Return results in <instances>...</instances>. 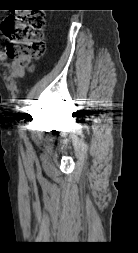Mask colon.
<instances>
[{
	"label": "colon",
	"mask_w": 138,
	"mask_h": 253,
	"mask_svg": "<svg viewBox=\"0 0 138 253\" xmlns=\"http://www.w3.org/2000/svg\"><path fill=\"white\" fill-rule=\"evenodd\" d=\"M8 40L7 55L18 60L23 67L45 52L43 30L45 18L39 12H22L8 16L2 23Z\"/></svg>",
	"instance_id": "1"
}]
</instances>
